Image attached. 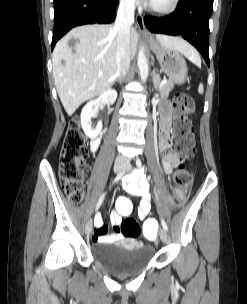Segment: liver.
<instances>
[{
  "label": "liver",
  "mask_w": 247,
  "mask_h": 304,
  "mask_svg": "<svg viewBox=\"0 0 247 304\" xmlns=\"http://www.w3.org/2000/svg\"><path fill=\"white\" fill-rule=\"evenodd\" d=\"M77 40L74 48L70 39ZM160 45L186 57L198 54L179 37L156 35ZM139 34L130 30L131 56L136 53ZM117 31L113 25H83L73 28L60 39L53 51V77L59 98L71 116L87 100L111 88L116 79ZM62 61L64 63H62Z\"/></svg>",
  "instance_id": "liver-1"
}]
</instances>
